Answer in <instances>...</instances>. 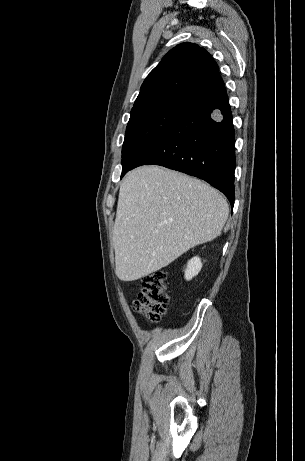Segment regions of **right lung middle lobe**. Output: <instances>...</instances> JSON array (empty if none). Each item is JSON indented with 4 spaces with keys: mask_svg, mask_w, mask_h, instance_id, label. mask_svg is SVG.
<instances>
[{
    "mask_svg": "<svg viewBox=\"0 0 305 461\" xmlns=\"http://www.w3.org/2000/svg\"><path fill=\"white\" fill-rule=\"evenodd\" d=\"M189 106L165 103L131 112L122 147V170L163 139Z\"/></svg>",
    "mask_w": 305,
    "mask_h": 461,
    "instance_id": "1",
    "label": "right lung middle lobe"
}]
</instances>
